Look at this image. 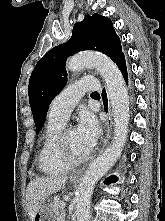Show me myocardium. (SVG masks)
Returning <instances> with one entry per match:
<instances>
[{"instance_id":"1","label":"myocardium","mask_w":165,"mask_h":221,"mask_svg":"<svg viewBox=\"0 0 165 221\" xmlns=\"http://www.w3.org/2000/svg\"><path fill=\"white\" fill-rule=\"evenodd\" d=\"M69 128L63 129L58 138V152L61 159L70 166H77L86 162L92 154V151L89 150L85 155L81 157H76L68 144L67 132Z\"/></svg>"}]
</instances>
